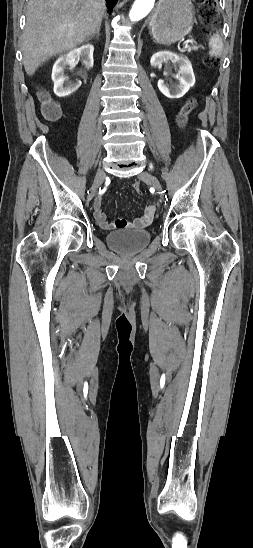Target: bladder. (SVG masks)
Wrapping results in <instances>:
<instances>
[{
  "mask_svg": "<svg viewBox=\"0 0 253 548\" xmlns=\"http://www.w3.org/2000/svg\"><path fill=\"white\" fill-rule=\"evenodd\" d=\"M151 240V232L141 230H117L107 234L108 245L126 254H134L145 248Z\"/></svg>",
  "mask_w": 253,
  "mask_h": 548,
  "instance_id": "bladder-1",
  "label": "bladder"
}]
</instances>
